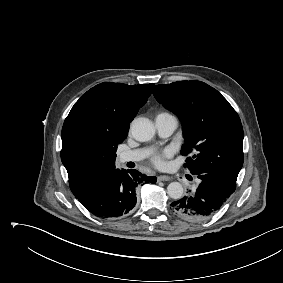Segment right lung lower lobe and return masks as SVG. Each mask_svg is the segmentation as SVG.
<instances>
[{"label":"right lung lower lobe","mask_w":283,"mask_h":283,"mask_svg":"<svg viewBox=\"0 0 283 283\" xmlns=\"http://www.w3.org/2000/svg\"><path fill=\"white\" fill-rule=\"evenodd\" d=\"M155 183L137 170H115L108 178L88 192L77 197L92 214L102 218L126 215L136 204L135 190L142 182Z\"/></svg>","instance_id":"98d812e1"}]
</instances>
